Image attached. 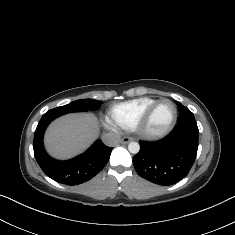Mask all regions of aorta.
<instances>
[{
    "label": "aorta",
    "mask_w": 235,
    "mask_h": 235,
    "mask_svg": "<svg viewBox=\"0 0 235 235\" xmlns=\"http://www.w3.org/2000/svg\"><path fill=\"white\" fill-rule=\"evenodd\" d=\"M128 150L131 154H137L140 151V145L137 142H130L128 145Z\"/></svg>",
    "instance_id": "obj_1"
}]
</instances>
